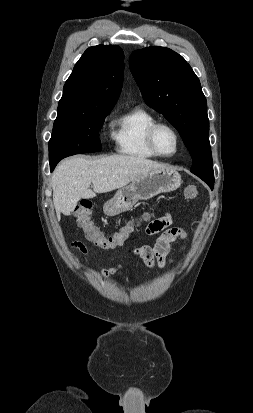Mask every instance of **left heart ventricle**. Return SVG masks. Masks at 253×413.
Wrapping results in <instances>:
<instances>
[{
  "mask_svg": "<svg viewBox=\"0 0 253 413\" xmlns=\"http://www.w3.org/2000/svg\"><path fill=\"white\" fill-rule=\"evenodd\" d=\"M155 142L158 150L163 154H172L176 149V138L166 127H161L157 130Z\"/></svg>",
  "mask_w": 253,
  "mask_h": 413,
  "instance_id": "1",
  "label": "left heart ventricle"
}]
</instances>
